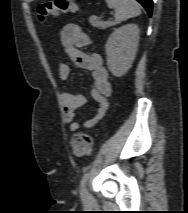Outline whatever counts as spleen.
<instances>
[{
    "instance_id": "obj_1",
    "label": "spleen",
    "mask_w": 188,
    "mask_h": 213,
    "mask_svg": "<svg viewBox=\"0 0 188 213\" xmlns=\"http://www.w3.org/2000/svg\"><path fill=\"white\" fill-rule=\"evenodd\" d=\"M109 8L115 10L116 21H124L141 14L140 5L136 0H106Z\"/></svg>"
}]
</instances>
